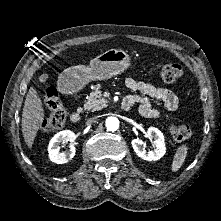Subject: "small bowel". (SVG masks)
I'll return each instance as SVG.
<instances>
[{
	"label": "small bowel",
	"instance_id": "obj_1",
	"mask_svg": "<svg viewBox=\"0 0 221 221\" xmlns=\"http://www.w3.org/2000/svg\"><path fill=\"white\" fill-rule=\"evenodd\" d=\"M125 85L141 95L130 94L123 99L122 104H128L131 108L138 103L139 113L145 117L158 118L161 115L159 109L152 107L150 99L163 104L170 111L178 107V97L167 88L134 78H127Z\"/></svg>",
	"mask_w": 221,
	"mask_h": 221
}]
</instances>
